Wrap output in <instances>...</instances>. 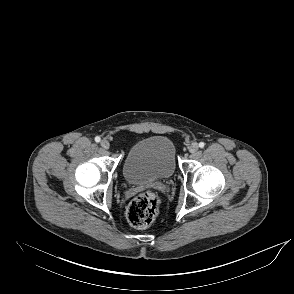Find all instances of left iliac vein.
<instances>
[{
  "label": "left iliac vein",
  "instance_id": "1",
  "mask_svg": "<svg viewBox=\"0 0 294 294\" xmlns=\"http://www.w3.org/2000/svg\"><path fill=\"white\" fill-rule=\"evenodd\" d=\"M198 144L197 143H192L189 147V152L190 153H196L198 151Z\"/></svg>",
  "mask_w": 294,
  "mask_h": 294
}]
</instances>
